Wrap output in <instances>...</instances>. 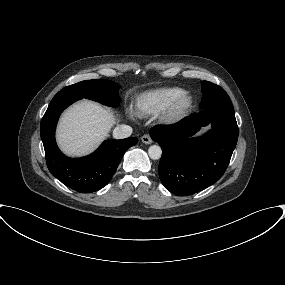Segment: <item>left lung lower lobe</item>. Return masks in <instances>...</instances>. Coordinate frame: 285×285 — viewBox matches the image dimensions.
Segmentation results:
<instances>
[{"label": "left lung lower lobe", "instance_id": "0a47b994", "mask_svg": "<svg viewBox=\"0 0 285 285\" xmlns=\"http://www.w3.org/2000/svg\"><path fill=\"white\" fill-rule=\"evenodd\" d=\"M234 110L211 107L173 125L151 128V138L162 148L158 173L167 190L188 196L217 182L224 174L237 144ZM212 123L204 136L190 139Z\"/></svg>", "mask_w": 285, "mask_h": 285}]
</instances>
